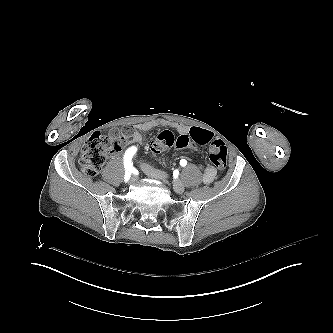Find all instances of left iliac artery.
<instances>
[{
	"label": "left iliac artery",
	"instance_id": "1",
	"mask_svg": "<svg viewBox=\"0 0 333 333\" xmlns=\"http://www.w3.org/2000/svg\"><path fill=\"white\" fill-rule=\"evenodd\" d=\"M186 164H187V161H186L185 159H182V160L180 161V165H181V166H186Z\"/></svg>",
	"mask_w": 333,
	"mask_h": 333
}]
</instances>
